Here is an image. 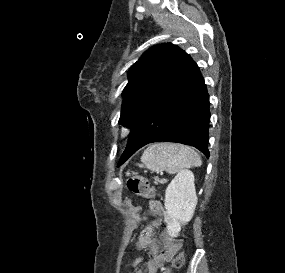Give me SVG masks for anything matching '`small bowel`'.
<instances>
[{"label": "small bowel", "instance_id": "small-bowel-1", "mask_svg": "<svg viewBox=\"0 0 285 273\" xmlns=\"http://www.w3.org/2000/svg\"><path fill=\"white\" fill-rule=\"evenodd\" d=\"M149 211L153 215H163L164 207L160 201L152 200L149 202ZM161 225V220H155L151 222L147 227V232H141L138 236L136 246L138 249L149 248L152 253V258L145 264L146 273H157L158 269L164 266L177 252L179 245L177 242L168 238L161 245L157 240L153 238L154 230ZM140 260L135 263L138 264ZM136 273H144L139 269Z\"/></svg>", "mask_w": 285, "mask_h": 273}]
</instances>
